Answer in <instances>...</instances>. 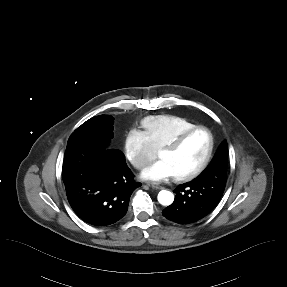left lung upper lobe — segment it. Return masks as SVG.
I'll use <instances>...</instances> for the list:
<instances>
[{
	"label": "left lung upper lobe",
	"instance_id": "obj_1",
	"mask_svg": "<svg viewBox=\"0 0 287 287\" xmlns=\"http://www.w3.org/2000/svg\"><path fill=\"white\" fill-rule=\"evenodd\" d=\"M227 165H228V147L227 141L224 140L220 147L217 150L210 166L196 179L197 182H209L214 179V176L217 177L218 173H221L223 177L226 178L227 174Z\"/></svg>",
	"mask_w": 287,
	"mask_h": 287
}]
</instances>
